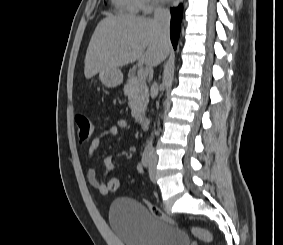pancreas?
Listing matches in <instances>:
<instances>
[{
	"label": "pancreas",
	"instance_id": "1",
	"mask_svg": "<svg viewBox=\"0 0 283 245\" xmlns=\"http://www.w3.org/2000/svg\"><path fill=\"white\" fill-rule=\"evenodd\" d=\"M124 93L128 97L133 118L140 120L149 101L146 78L136 77L134 74H131L124 86Z\"/></svg>",
	"mask_w": 283,
	"mask_h": 245
}]
</instances>
